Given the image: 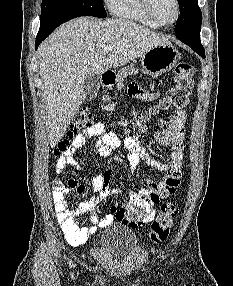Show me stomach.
Here are the masks:
<instances>
[{
  "mask_svg": "<svg viewBox=\"0 0 233 286\" xmlns=\"http://www.w3.org/2000/svg\"><path fill=\"white\" fill-rule=\"evenodd\" d=\"M180 58V53L170 42L150 49L142 56L143 72L153 79L169 72Z\"/></svg>",
  "mask_w": 233,
  "mask_h": 286,
  "instance_id": "stomach-1",
  "label": "stomach"
}]
</instances>
